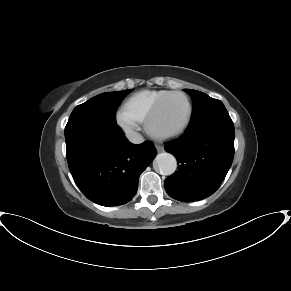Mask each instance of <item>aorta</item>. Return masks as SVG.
<instances>
[{"instance_id":"aorta-1","label":"aorta","mask_w":291,"mask_h":291,"mask_svg":"<svg viewBox=\"0 0 291 291\" xmlns=\"http://www.w3.org/2000/svg\"><path fill=\"white\" fill-rule=\"evenodd\" d=\"M155 160L161 175L170 176L176 171L177 161L172 154L160 153Z\"/></svg>"}]
</instances>
